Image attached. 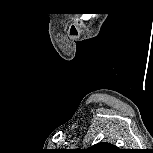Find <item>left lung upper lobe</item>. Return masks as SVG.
I'll use <instances>...</instances> for the list:
<instances>
[{
    "label": "left lung upper lobe",
    "instance_id": "left-lung-upper-lobe-1",
    "mask_svg": "<svg viewBox=\"0 0 153 153\" xmlns=\"http://www.w3.org/2000/svg\"><path fill=\"white\" fill-rule=\"evenodd\" d=\"M114 149L115 147L108 143H98L89 148V150L92 152H104V151H109V150H114Z\"/></svg>",
    "mask_w": 153,
    "mask_h": 153
}]
</instances>
